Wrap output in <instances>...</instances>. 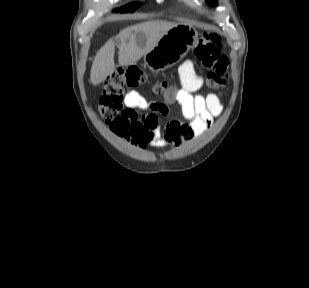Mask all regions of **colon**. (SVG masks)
I'll use <instances>...</instances> for the list:
<instances>
[{"label": "colon", "mask_w": 309, "mask_h": 288, "mask_svg": "<svg viewBox=\"0 0 309 288\" xmlns=\"http://www.w3.org/2000/svg\"><path fill=\"white\" fill-rule=\"evenodd\" d=\"M196 64L206 71L205 82L212 89L220 90L226 85L228 77V59L222 53L219 36L205 33L191 51ZM147 81L143 70L136 66L118 68L109 74L104 82V89L99 100L100 115L106 120L114 122L126 120L132 110L124 106L125 88L138 87ZM154 92L173 100L175 91L165 82L154 85Z\"/></svg>", "instance_id": "colon-1"}]
</instances>
